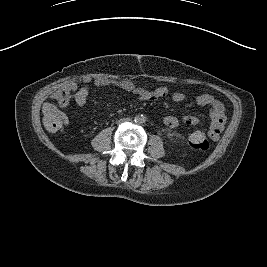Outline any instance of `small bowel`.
Instances as JSON below:
<instances>
[{"label": "small bowel", "mask_w": 267, "mask_h": 267, "mask_svg": "<svg viewBox=\"0 0 267 267\" xmlns=\"http://www.w3.org/2000/svg\"><path fill=\"white\" fill-rule=\"evenodd\" d=\"M119 86L134 96L138 97L141 101H155L164 98L168 95V89L165 87H157L154 90H147L133 83L113 84ZM90 91L87 86L76 88L75 85H69L61 92L56 94V99L64 108L68 107L70 101L73 100L79 107H83L89 97ZM186 95L183 92H173L171 100L176 103L185 101ZM195 102L201 107H206L209 111L210 124L208 136L212 141H217L220 138L221 132L226 122V114L224 105L213 96L209 94H199L195 97ZM183 121L188 125H197L201 119L195 115H186ZM164 124L169 128H176L179 124L175 116L169 115L164 118ZM197 131L195 133H198ZM193 133V134H195Z\"/></svg>", "instance_id": "obj_1"}]
</instances>
